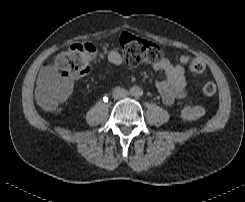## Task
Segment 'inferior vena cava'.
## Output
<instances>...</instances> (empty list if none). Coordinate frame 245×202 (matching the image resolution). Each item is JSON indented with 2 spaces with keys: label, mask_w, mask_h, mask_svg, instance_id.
Returning a JSON list of instances; mask_svg holds the SVG:
<instances>
[{
  "label": "inferior vena cava",
  "mask_w": 245,
  "mask_h": 202,
  "mask_svg": "<svg viewBox=\"0 0 245 202\" xmlns=\"http://www.w3.org/2000/svg\"><path fill=\"white\" fill-rule=\"evenodd\" d=\"M112 95L114 99H121L127 97L129 95V92L124 88L117 87L114 89Z\"/></svg>",
  "instance_id": "1"
}]
</instances>
